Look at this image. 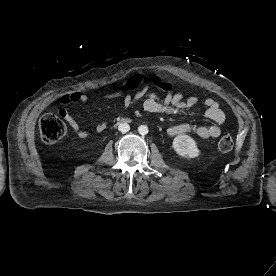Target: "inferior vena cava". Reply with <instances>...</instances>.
I'll return each instance as SVG.
<instances>
[{
	"mask_svg": "<svg viewBox=\"0 0 276 276\" xmlns=\"http://www.w3.org/2000/svg\"><path fill=\"white\" fill-rule=\"evenodd\" d=\"M118 130L122 133H126L130 130V126L127 123H120L118 126Z\"/></svg>",
	"mask_w": 276,
	"mask_h": 276,
	"instance_id": "1",
	"label": "inferior vena cava"
}]
</instances>
